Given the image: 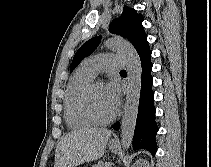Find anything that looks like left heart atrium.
Segmentation results:
<instances>
[{
  "label": "left heart atrium",
  "mask_w": 211,
  "mask_h": 167,
  "mask_svg": "<svg viewBox=\"0 0 211 167\" xmlns=\"http://www.w3.org/2000/svg\"><path fill=\"white\" fill-rule=\"evenodd\" d=\"M105 96L111 106L116 111L120 101L119 85L115 80H111L104 87Z\"/></svg>",
  "instance_id": "obj_1"
}]
</instances>
